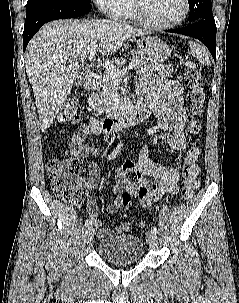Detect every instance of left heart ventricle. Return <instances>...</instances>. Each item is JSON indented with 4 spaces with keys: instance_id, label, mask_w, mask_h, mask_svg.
Listing matches in <instances>:
<instances>
[{
    "instance_id": "1",
    "label": "left heart ventricle",
    "mask_w": 239,
    "mask_h": 303,
    "mask_svg": "<svg viewBox=\"0 0 239 303\" xmlns=\"http://www.w3.org/2000/svg\"><path fill=\"white\" fill-rule=\"evenodd\" d=\"M146 17L155 23H168L183 11L182 0H139Z\"/></svg>"
}]
</instances>
